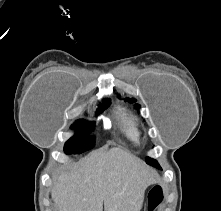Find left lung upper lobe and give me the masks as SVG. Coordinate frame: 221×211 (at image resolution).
<instances>
[{"label":"left lung upper lobe","mask_w":221,"mask_h":211,"mask_svg":"<svg viewBox=\"0 0 221 211\" xmlns=\"http://www.w3.org/2000/svg\"><path fill=\"white\" fill-rule=\"evenodd\" d=\"M125 101H128V102H136L135 99H125ZM135 107L138 109V108H139V105H138V104H135ZM146 162H147L149 165H152V166H154V167H156V168H160L158 162H157L156 160L152 159V158L147 157V158H146Z\"/></svg>","instance_id":"1"}]
</instances>
